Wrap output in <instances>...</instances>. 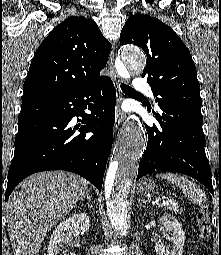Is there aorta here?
Returning <instances> with one entry per match:
<instances>
[{
  "label": "aorta",
  "mask_w": 221,
  "mask_h": 255,
  "mask_svg": "<svg viewBox=\"0 0 221 255\" xmlns=\"http://www.w3.org/2000/svg\"><path fill=\"white\" fill-rule=\"evenodd\" d=\"M121 59L125 65L121 70L122 74H125V70L139 74L146 65L143 52L133 46L121 50ZM145 147V132L138 119L133 116L116 150L115 159L109 166L104 183L107 215L121 236L127 233L128 197L138 173V160Z\"/></svg>",
  "instance_id": "obj_1"
}]
</instances>
